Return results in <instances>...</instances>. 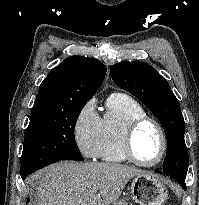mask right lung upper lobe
<instances>
[{
  "mask_svg": "<svg viewBox=\"0 0 199 205\" xmlns=\"http://www.w3.org/2000/svg\"><path fill=\"white\" fill-rule=\"evenodd\" d=\"M105 74V65L95 58H66L41 83L32 112L53 105L91 99L101 86Z\"/></svg>",
  "mask_w": 199,
  "mask_h": 205,
  "instance_id": "cb5924a9",
  "label": "right lung upper lobe"
}]
</instances>
